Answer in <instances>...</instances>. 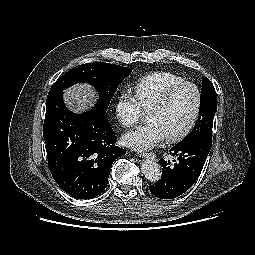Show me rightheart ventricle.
<instances>
[{
  "instance_id": "e07e8e85",
  "label": "right heart ventricle",
  "mask_w": 255,
  "mask_h": 255,
  "mask_svg": "<svg viewBox=\"0 0 255 255\" xmlns=\"http://www.w3.org/2000/svg\"><path fill=\"white\" fill-rule=\"evenodd\" d=\"M183 81V78L169 72L152 73L135 83L134 95L146 113L169 88Z\"/></svg>"
}]
</instances>
